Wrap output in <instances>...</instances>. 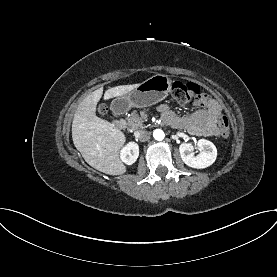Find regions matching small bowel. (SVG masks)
<instances>
[{"instance_id": "c3829d8e", "label": "small bowel", "mask_w": 277, "mask_h": 277, "mask_svg": "<svg viewBox=\"0 0 277 277\" xmlns=\"http://www.w3.org/2000/svg\"><path fill=\"white\" fill-rule=\"evenodd\" d=\"M198 105L200 109L184 117L177 116L167 105H162L160 111L164 120L174 128L184 129L197 136L220 135L219 119L222 112L220 103L204 94Z\"/></svg>"}]
</instances>
